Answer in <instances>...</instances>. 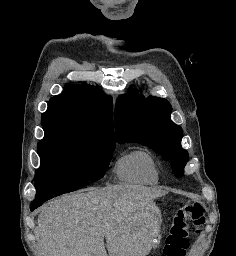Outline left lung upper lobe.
Listing matches in <instances>:
<instances>
[{
	"label": "left lung upper lobe",
	"mask_w": 236,
	"mask_h": 256,
	"mask_svg": "<svg viewBox=\"0 0 236 256\" xmlns=\"http://www.w3.org/2000/svg\"><path fill=\"white\" fill-rule=\"evenodd\" d=\"M170 103L162 98H144L136 92L118 98L115 109L119 143L137 142L152 148L172 165L180 178L189 159L181 147L183 130L172 122Z\"/></svg>",
	"instance_id": "obj_1"
}]
</instances>
